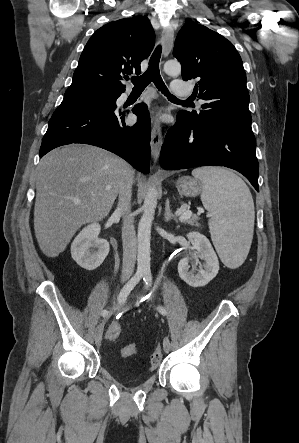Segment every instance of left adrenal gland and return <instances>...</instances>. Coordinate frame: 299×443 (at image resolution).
Returning a JSON list of instances; mask_svg holds the SVG:
<instances>
[{
	"mask_svg": "<svg viewBox=\"0 0 299 443\" xmlns=\"http://www.w3.org/2000/svg\"><path fill=\"white\" fill-rule=\"evenodd\" d=\"M164 220H165V222H169L170 220H174L175 222H177V217L170 210V202H169V200H166Z\"/></svg>",
	"mask_w": 299,
	"mask_h": 443,
	"instance_id": "a2214340",
	"label": "left adrenal gland"
}]
</instances>
